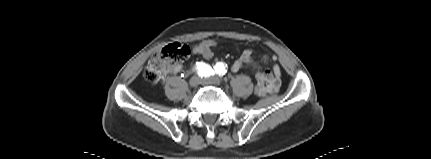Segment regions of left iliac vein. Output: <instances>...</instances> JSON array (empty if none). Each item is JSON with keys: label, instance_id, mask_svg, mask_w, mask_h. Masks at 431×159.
<instances>
[{"label": "left iliac vein", "instance_id": "obj_1", "mask_svg": "<svg viewBox=\"0 0 431 159\" xmlns=\"http://www.w3.org/2000/svg\"><path fill=\"white\" fill-rule=\"evenodd\" d=\"M201 84L203 85H218L220 84V79L217 77H210L201 80Z\"/></svg>", "mask_w": 431, "mask_h": 159}]
</instances>
